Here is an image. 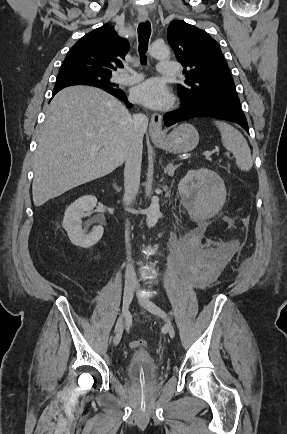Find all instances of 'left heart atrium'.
<instances>
[{"instance_id": "39dd6f15", "label": "left heart atrium", "mask_w": 287, "mask_h": 434, "mask_svg": "<svg viewBox=\"0 0 287 434\" xmlns=\"http://www.w3.org/2000/svg\"><path fill=\"white\" fill-rule=\"evenodd\" d=\"M133 98L153 109H165L172 102L166 86L158 79H150L136 86L133 90Z\"/></svg>"}]
</instances>
